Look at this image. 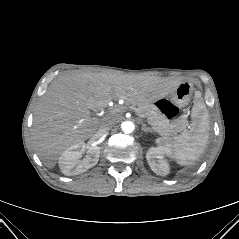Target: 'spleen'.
Instances as JSON below:
<instances>
[{
	"label": "spleen",
	"instance_id": "1",
	"mask_svg": "<svg viewBox=\"0 0 239 239\" xmlns=\"http://www.w3.org/2000/svg\"><path fill=\"white\" fill-rule=\"evenodd\" d=\"M190 129L169 138H157L158 149L181 166L193 164L204 152L209 138V115L199 93H196L191 113Z\"/></svg>",
	"mask_w": 239,
	"mask_h": 239
}]
</instances>
